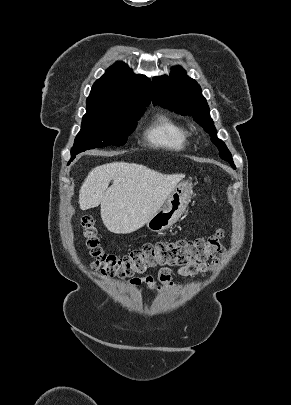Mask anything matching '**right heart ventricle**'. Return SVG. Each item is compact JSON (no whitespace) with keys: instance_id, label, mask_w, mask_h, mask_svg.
<instances>
[{"instance_id":"obj_1","label":"right heart ventricle","mask_w":291,"mask_h":405,"mask_svg":"<svg viewBox=\"0 0 291 405\" xmlns=\"http://www.w3.org/2000/svg\"><path fill=\"white\" fill-rule=\"evenodd\" d=\"M145 135L155 147L182 151L190 143L189 131L178 121L166 114H159L147 127Z\"/></svg>"}]
</instances>
